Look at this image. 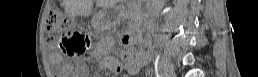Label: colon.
<instances>
[{"mask_svg": "<svg viewBox=\"0 0 258 77\" xmlns=\"http://www.w3.org/2000/svg\"><path fill=\"white\" fill-rule=\"evenodd\" d=\"M71 27L72 21L69 18L61 16L55 10L50 11L46 21V30L49 33L60 35L59 44L64 52L83 53L89 48L90 39L83 32L71 30ZM66 31L67 33L63 34ZM132 49L134 54L145 52L146 42L142 39L135 41Z\"/></svg>", "mask_w": 258, "mask_h": 77, "instance_id": "colon-1", "label": "colon"}]
</instances>
